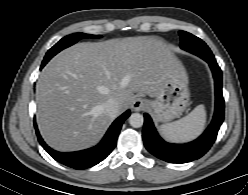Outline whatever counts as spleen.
<instances>
[{"label": "spleen", "mask_w": 248, "mask_h": 195, "mask_svg": "<svg viewBox=\"0 0 248 195\" xmlns=\"http://www.w3.org/2000/svg\"><path fill=\"white\" fill-rule=\"evenodd\" d=\"M206 111L203 105L196 106L187 116L172 123L161 125V132L166 140L184 142L194 139L204 129Z\"/></svg>", "instance_id": "spleen-1"}]
</instances>
